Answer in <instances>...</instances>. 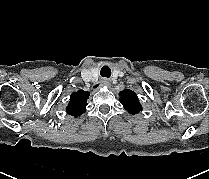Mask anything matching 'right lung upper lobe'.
<instances>
[{"label": "right lung upper lobe", "instance_id": "cb5924a9", "mask_svg": "<svg viewBox=\"0 0 209 179\" xmlns=\"http://www.w3.org/2000/svg\"><path fill=\"white\" fill-rule=\"evenodd\" d=\"M90 93L87 91L79 90L73 92L70 96L69 104L66 108L67 112L74 117L82 115L86 111L87 99Z\"/></svg>", "mask_w": 209, "mask_h": 179}]
</instances>
